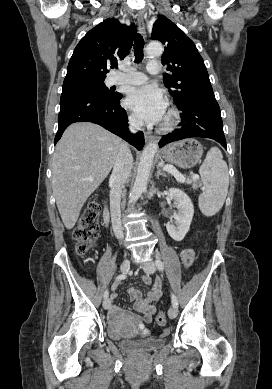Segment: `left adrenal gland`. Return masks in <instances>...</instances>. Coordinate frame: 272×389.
<instances>
[{
  "instance_id": "left-adrenal-gland-1",
  "label": "left adrenal gland",
  "mask_w": 272,
  "mask_h": 389,
  "mask_svg": "<svg viewBox=\"0 0 272 389\" xmlns=\"http://www.w3.org/2000/svg\"><path fill=\"white\" fill-rule=\"evenodd\" d=\"M155 176L156 178H159V176L167 177V175L161 171L159 166L157 167V173Z\"/></svg>"
}]
</instances>
